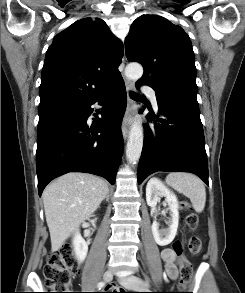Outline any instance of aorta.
Masks as SVG:
<instances>
[{
  "instance_id": "aorta-1",
  "label": "aorta",
  "mask_w": 245,
  "mask_h": 293,
  "mask_svg": "<svg viewBox=\"0 0 245 293\" xmlns=\"http://www.w3.org/2000/svg\"><path fill=\"white\" fill-rule=\"evenodd\" d=\"M143 75V68L139 63H130L125 68V76L128 79L138 80ZM143 147V127L139 122H135L130 129L129 139L126 148V157L130 163H136Z\"/></svg>"
}]
</instances>
